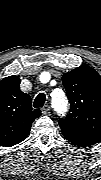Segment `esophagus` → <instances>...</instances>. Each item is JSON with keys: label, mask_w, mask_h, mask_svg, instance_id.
<instances>
[{"label": "esophagus", "mask_w": 101, "mask_h": 180, "mask_svg": "<svg viewBox=\"0 0 101 180\" xmlns=\"http://www.w3.org/2000/svg\"><path fill=\"white\" fill-rule=\"evenodd\" d=\"M41 111L43 114H49L50 113V106L49 105L43 106Z\"/></svg>", "instance_id": "obj_1"}]
</instances>
